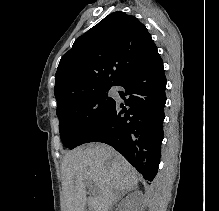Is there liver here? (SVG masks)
<instances>
[{
    "instance_id": "1",
    "label": "liver",
    "mask_w": 219,
    "mask_h": 211,
    "mask_svg": "<svg viewBox=\"0 0 219 211\" xmlns=\"http://www.w3.org/2000/svg\"><path fill=\"white\" fill-rule=\"evenodd\" d=\"M62 185L67 211H110L121 191L138 187L139 173L114 147L89 143L63 157ZM87 179L98 193L87 195Z\"/></svg>"
}]
</instances>
